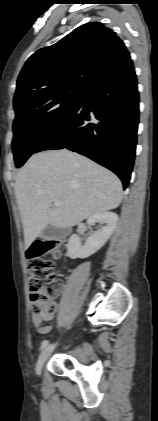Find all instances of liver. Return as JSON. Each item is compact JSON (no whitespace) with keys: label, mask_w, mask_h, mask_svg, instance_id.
<instances>
[{"label":"liver","mask_w":158,"mask_h":421,"mask_svg":"<svg viewBox=\"0 0 158 421\" xmlns=\"http://www.w3.org/2000/svg\"><path fill=\"white\" fill-rule=\"evenodd\" d=\"M15 196L28 248L48 225L71 228L117 208L123 195L115 174L62 149L32 155L16 177ZM56 200L60 207H53Z\"/></svg>","instance_id":"1"}]
</instances>
